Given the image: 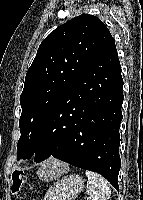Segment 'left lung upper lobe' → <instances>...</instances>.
I'll return each instance as SVG.
<instances>
[{
  "instance_id": "obj_1",
  "label": "left lung upper lobe",
  "mask_w": 143,
  "mask_h": 200,
  "mask_svg": "<svg viewBox=\"0 0 143 200\" xmlns=\"http://www.w3.org/2000/svg\"><path fill=\"white\" fill-rule=\"evenodd\" d=\"M112 39L99 18L83 14L61 25L42 41L20 96L18 160L34 155L44 124L64 92ZM61 115L65 111L58 114L57 121Z\"/></svg>"
}]
</instances>
